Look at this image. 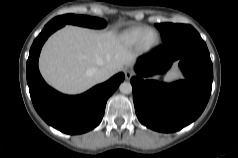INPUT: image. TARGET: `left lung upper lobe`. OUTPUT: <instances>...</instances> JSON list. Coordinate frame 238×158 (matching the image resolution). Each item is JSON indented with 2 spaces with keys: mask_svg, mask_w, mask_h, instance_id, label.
Returning <instances> with one entry per match:
<instances>
[{
  "mask_svg": "<svg viewBox=\"0 0 238 158\" xmlns=\"http://www.w3.org/2000/svg\"><path fill=\"white\" fill-rule=\"evenodd\" d=\"M156 27L159 29L162 35V40L164 42L170 40L171 38L186 33L188 31L194 30L190 25L184 24H172V23H161L156 24Z\"/></svg>",
  "mask_w": 238,
  "mask_h": 158,
  "instance_id": "obj_1",
  "label": "left lung upper lobe"
}]
</instances>
